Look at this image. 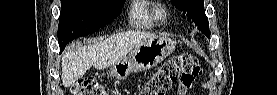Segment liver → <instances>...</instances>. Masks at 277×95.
<instances>
[{
  "label": "liver",
  "instance_id": "1",
  "mask_svg": "<svg viewBox=\"0 0 277 95\" xmlns=\"http://www.w3.org/2000/svg\"><path fill=\"white\" fill-rule=\"evenodd\" d=\"M154 37V34L148 32L127 31L94 44H76L68 48L62 56V84L65 87L72 86L92 66L97 70L111 67L141 42Z\"/></svg>",
  "mask_w": 277,
  "mask_h": 95
}]
</instances>
